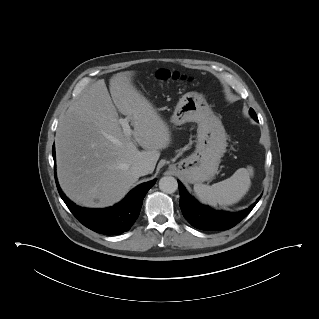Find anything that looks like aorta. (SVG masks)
Returning a JSON list of instances; mask_svg holds the SVG:
<instances>
[{"instance_id":"aorta-1","label":"aorta","mask_w":319,"mask_h":319,"mask_svg":"<svg viewBox=\"0 0 319 319\" xmlns=\"http://www.w3.org/2000/svg\"><path fill=\"white\" fill-rule=\"evenodd\" d=\"M177 188V180L172 176H164L159 181V189L164 193L172 194Z\"/></svg>"}]
</instances>
